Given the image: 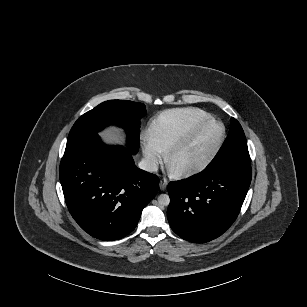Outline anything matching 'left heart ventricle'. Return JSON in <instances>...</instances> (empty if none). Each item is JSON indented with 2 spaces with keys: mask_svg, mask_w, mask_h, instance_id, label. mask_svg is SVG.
<instances>
[{
  "mask_svg": "<svg viewBox=\"0 0 307 307\" xmlns=\"http://www.w3.org/2000/svg\"><path fill=\"white\" fill-rule=\"evenodd\" d=\"M224 134L221 123L213 124L191 147L183 151L172 162V169L180 171L193 166L206 158L216 147Z\"/></svg>",
  "mask_w": 307,
  "mask_h": 307,
  "instance_id": "obj_1",
  "label": "left heart ventricle"
}]
</instances>
